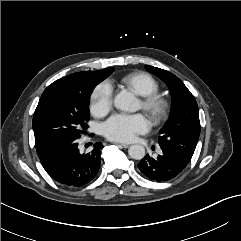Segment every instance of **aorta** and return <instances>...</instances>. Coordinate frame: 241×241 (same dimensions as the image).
<instances>
[{
  "instance_id": "aorta-1",
  "label": "aorta",
  "mask_w": 241,
  "mask_h": 241,
  "mask_svg": "<svg viewBox=\"0 0 241 241\" xmlns=\"http://www.w3.org/2000/svg\"><path fill=\"white\" fill-rule=\"evenodd\" d=\"M114 105L117 109L125 112H136L139 108L135 96L128 91H121L114 98ZM131 158L141 160L145 156V148L142 145H132L128 149Z\"/></svg>"
}]
</instances>
